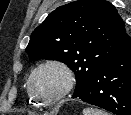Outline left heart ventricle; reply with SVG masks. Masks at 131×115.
<instances>
[{"label": "left heart ventricle", "mask_w": 131, "mask_h": 115, "mask_svg": "<svg viewBox=\"0 0 131 115\" xmlns=\"http://www.w3.org/2000/svg\"><path fill=\"white\" fill-rule=\"evenodd\" d=\"M63 85V76L55 68L39 71L32 82L34 92L42 99L56 95Z\"/></svg>", "instance_id": "1"}]
</instances>
